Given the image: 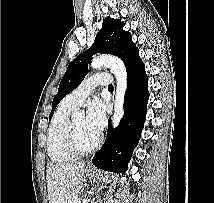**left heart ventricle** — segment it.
I'll list each match as a JSON object with an SVG mask.
<instances>
[{"mask_svg":"<svg viewBox=\"0 0 214 203\" xmlns=\"http://www.w3.org/2000/svg\"><path fill=\"white\" fill-rule=\"evenodd\" d=\"M77 129L78 144L81 148H89L96 140L97 133L93 132L86 124L85 116H79L75 119Z\"/></svg>","mask_w":214,"mask_h":203,"instance_id":"b2bd125f","label":"left heart ventricle"}]
</instances>
